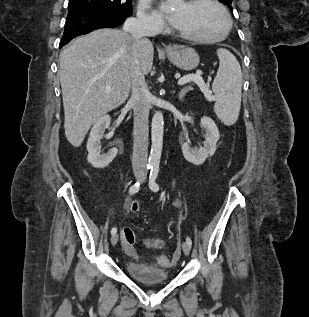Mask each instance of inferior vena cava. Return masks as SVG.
<instances>
[{
	"instance_id": "inferior-vena-cava-1",
	"label": "inferior vena cava",
	"mask_w": 309,
	"mask_h": 317,
	"mask_svg": "<svg viewBox=\"0 0 309 317\" xmlns=\"http://www.w3.org/2000/svg\"><path fill=\"white\" fill-rule=\"evenodd\" d=\"M123 30L129 32L134 40L143 37L155 36L158 32V25L153 22L138 20L134 17L128 18ZM130 102L134 111V145L132 154V166L135 172L144 171L147 166L148 156V116L150 108V92L141 70L140 64L135 58L131 70Z\"/></svg>"
}]
</instances>
